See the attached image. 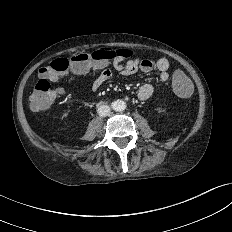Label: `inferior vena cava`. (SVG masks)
<instances>
[{
	"label": "inferior vena cava",
	"mask_w": 232,
	"mask_h": 232,
	"mask_svg": "<svg viewBox=\"0 0 232 232\" xmlns=\"http://www.w3.org/2000/svg\"><path fill=\"white\" fill-rule=\"evenodd\" d=\"M98 115L101 116V117H105L107 115H109L110 113V107L108 105H100L98 107Z\"/></svg>",
	"instance_id": "inferior-vena-cava-1"
}]
</instances>
